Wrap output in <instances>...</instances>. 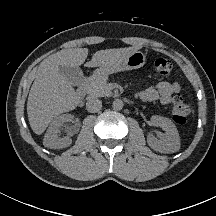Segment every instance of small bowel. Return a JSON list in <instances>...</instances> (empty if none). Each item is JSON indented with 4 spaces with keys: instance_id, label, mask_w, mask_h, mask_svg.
<instances>
[{
    "instance_id": "obj_1",
    "label": "small bowel",
    "mask_w": 216,
    "mask_h": 216,
    "mask_svg": "<svg viewBox=\"0 0 216 216\" xmlns=\"http://www.w3.org/2000/svg\"><path fill=\"white\" fill-rule=\"evenodd\" d=\"M180 92L178 82L160 81L155 87H150L140 93V97L145 101L160 100L163 104H168L173 97Z\"/></svg>"
}]
</instances>
